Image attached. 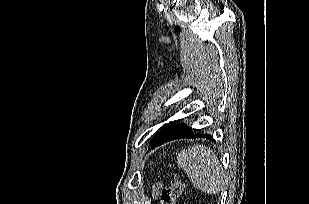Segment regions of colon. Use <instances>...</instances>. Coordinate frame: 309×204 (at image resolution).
I'll list each match as a JSON object with an SVG mask.
<instances>
[{
    "label": "colon",
    "instance_id": "1",
    "mask_svg": "<svg viewBox=\"0 0 309 204\" xmlns=\"http://www.w3.org/2000/svg\"><path fill=\"white\" fill-rule=\"evenodd\" d=\"M184 182L177 174H173L168 186L160 191V204H177L184 191Z\"/></svg>",
    "mask_w": 309,
    "mask_h": 204
}]
</instances>
